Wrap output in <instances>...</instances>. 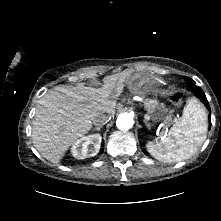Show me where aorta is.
<instances>
[{"label": "aorta", "mask_w": 221, "mask_h": 221, "mask_svg": "<svg viewBox=\"0 0 221 221\" xmlns=\"http://www.w3.org/2000/svg\"><path fill=\"white\" fill-rule=\"evenodd\" d=\"M116 125L120 130H129L133 127V117L129 113H122L116 120Z\"/></svg>", "instance_id": "762f6f07"}]
</instances>
